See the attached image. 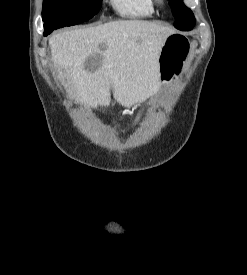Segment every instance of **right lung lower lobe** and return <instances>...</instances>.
<instances>
[{
  "mask_svg": "<svg viewBox=\"0 0 247 275\" xmlns=\"http://www.w3.org/2000/svg\"><path fill=\"white\" fill-rule=\"evenodd\" d=\"M51 32L49 31H44V36H47L48 34H50Z\"/></svg>",
  "mask_w": 247,
  "mask_h": 275,
  "instance_id": "obj_1",
  "label": "right lung lower lobe"
}]
</instances>
